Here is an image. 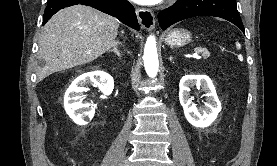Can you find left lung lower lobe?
<instances>
[{
    "mask_svg": "<svg viewBox=\"0 0 277 166\" xmlns=\"http://www.w3.org/2000/svg\"><path fill=\"white\" fill-rule=\"evenodd\" d=\"M196 16L226 19L245 33L235 0H178L173 6L162 10L158 20L161 28L166 29L176 22Z\"/></svg>",
    "mask_w": 277,
    "mask_h": 166,
    "instance_id": "obj_1",
    "label": "left lung lower lobe"
}]
</instances>
